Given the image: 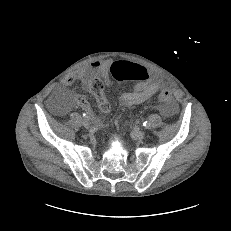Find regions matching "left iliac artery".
<instances>
[{
  "label": "left iliac artery",
  "instance_id": "obj_1",
  "mask_svg": "<svg viewBox=\"0 0 231 231\" xmlns=\"http://www.w3.org/2000/svg\"><path fill=\"white\" fill-rule=\"evenodd\" d=\"M143 126H144L145 128H149V127L151 126V124H150L149 121H145V122H143Z\"/></svg>",
  "mask_w": 231,
  "mask_h": 231
}]
</instances>
